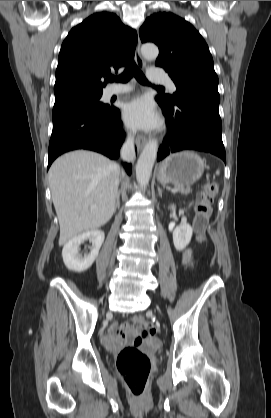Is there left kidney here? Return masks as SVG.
<instances>
[{"label":"left kidney","mask_w":271,"mask_h":418,"mask_svg":"<svg viewBox=\"0 0 271 418\" xmlns=\"http://www.w3.org/2000/svg\"><path fill=\"white\" fill-rule=\"evenodd\" d=\"M174 208V205L172 206ZM193 229L186 222L183 221L173 231V243L176 250H183L191 241Z\"/></svg>","instance_id":"5707ae66"}]
</instances>
